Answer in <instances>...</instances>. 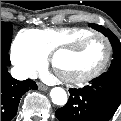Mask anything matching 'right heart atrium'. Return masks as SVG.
<instances>
[{
    "label": "right heart atrium",
    "mask_w": 121,
    "mask_h": 121,
    "mask_svg": "<svg viewBox=\"0 0 121 121\" xmlns=\"http://www.w3.org/2000/svg\"><path fill=\"white\" fill-rule=\"evenodd\" d=\"M16 63L26 72H31L41 64L42 56L32 48L17 46L13 52Z\"/></svg>",
    "instance_id": "1"
}]
</instances>
